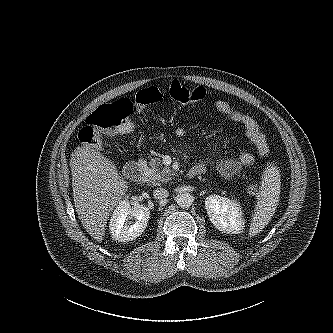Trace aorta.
Wrapping results in <instances>:
<instances>
[{"mask_svg": "<svg viewBox=\"0 0 333 333\" xmlns=\"http://www.w3.org/2000/svg\"><path fill=\"white\" fill-rule=\"evenodd\" d=\"M193 203V196L189 193H182L177 197V204L181 208H189Z\"/></svg>", "mask_w": 333, "mask_h": 333, "instance_id": "obj_1", "label": "aorta"}]
</instances>
